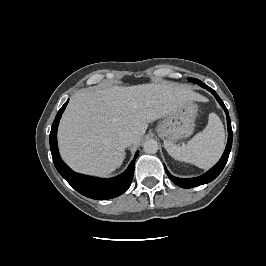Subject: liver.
Wrapping results in <instances>:
<instances>
[{
  "label": "liver",
  "instance_id": "1",
  "mask_svg": "<svg viewBox=\"0 0 266 266\" xmlns=\"http://www.w3.org/2000/svg\"><path fill=\"white\" fill-rule=\"evenodd\" d=\"M200 96L174 82L82 89L68 103L58 129L64 161L75 171L105 176L120 167L131 134L137 144L148 123L167 116Z\"/></svg>",
  "mask_w": 266,
  "mask_h": 266
}]
</instances>
